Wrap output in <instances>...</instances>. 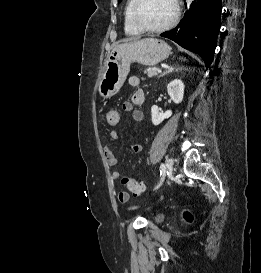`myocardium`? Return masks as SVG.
I'll use <instances>...</instances> for the list:
<instances>
[{"instance_id":"1","label":"myocardium","mask_w":261,"mask_h":273,"mask_svg":"<svg viewBox=\"0 0 261 273\" xmlns=\"http://www.w3.org/2000/svg\"><path fill=\"white\" fill-rule=\"evenodd\" d=\"M141 0H133V4L130 10V20L133 26L140 32L145 33H163L172 29L179 21L180 18V5L178 0H172L174 5V16L167 24L159 27H145L141 25L136 19V11Z\"/></svg>"}]
</instances>
